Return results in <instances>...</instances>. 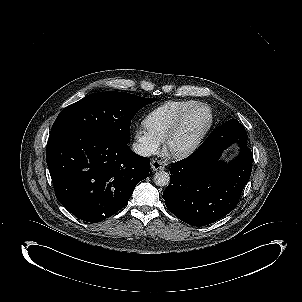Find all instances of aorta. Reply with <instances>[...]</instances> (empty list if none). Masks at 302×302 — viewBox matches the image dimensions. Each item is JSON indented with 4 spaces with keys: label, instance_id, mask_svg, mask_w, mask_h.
<instances>
[{
    "label": "aorta",
    "instance_id": "obj_1",
    "mask_svg": "<svg viewBox=\"0 0 302 302\" xmlns=\"http://www.w3.org/2000/svg\"><path fill=\"white\" fill-rule=\"evenodd\" d=\"M153 181L157 186H167L170 183V174L166 171H158L154 174Z\"/></svg>",
    "mask_w": 302,
    "mask_h": 302
}]
</instances>
